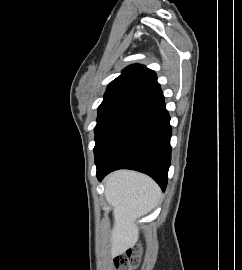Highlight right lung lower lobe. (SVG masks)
<instances>
[{
  "label": "right lung lower lobe",
  "mask_w": 242,
  "mask_h": 270,
  "mask_svg": "<svg viewBox=\"0 0 242 270\" xmlns=\"http://www.w3.org/2000/svg\"><path fill=\"white\" fill-rule=\"evenodd\" d=\"M171 126L163 94L137 106L95 160L101 181L117 169L151 176L164 191L171 159Z\"/></svg>",
  "instance_id": "obj_1"
}]
</instances>
